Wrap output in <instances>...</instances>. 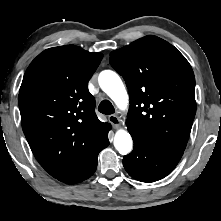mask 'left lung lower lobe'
<instances>
[{"label":"left lung lower lobe","mask_w":221,"mask_h":221,"mask_svg":"<svg viewBox=\"0 0 221 221\" xmlns=\"http://www.w3.org/2000/svg\"><path fill=\"white\" fill-rule=\"evenodd\" d=\"M134 150L124 156L123 165L130 176L142 182H154L167 176L178 164L183 152L153 145L128 128Z\"/></svg>","instance_id":"0a47b994"}]
</instances>
